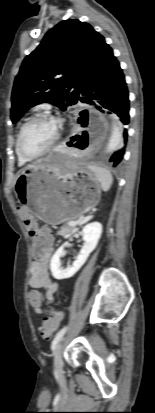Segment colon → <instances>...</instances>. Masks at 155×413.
Listing matches in <instances>:
<instances>
[{
  "label": "colon",
  "instance_id": "5ec220e1",
  "mask_svg": "<svg viewBox=\"0 0 155 413\" xmlns=\"http://www.w3.org/2000/svg\"><path fill=\"white\" fill-rule=\"evenodd\" d=\"M34 237L33 256L37 260L43 259L47 250V239L40 235L38 231H30ZM40 297L37 294H31L30 301L33 305H37L40 302ZM62 319L60 312L48 314L44 317L41 334L44 338L50 337L57 329Z\"/></svg>",
  "mask_w": 155,
  "mask_h": 413
}]
</instances>
